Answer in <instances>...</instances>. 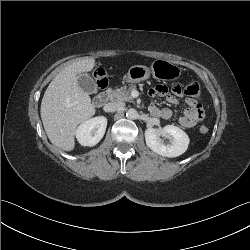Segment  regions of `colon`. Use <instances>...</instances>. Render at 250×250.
Wrapping results in <instances>:
<instances>
[{
    "instance_id": "obj_1",
    "label": "colon",
    "mask_w": 250,
    "mask_h": 250,
    "mask_svg": "<svg viewBox=\"0 0 250 250\" xmlns=\"http://www.w3.org/2000/svg\"><path fill=\"white\" fill-rule=\"evenodd\" d=\"M93 77L98 87L103 88L107 84V74L101 67H97L93 72ZM184 93L191 99H198L200 96V87L195 82H190L184 87ZM209 131L208 127L203 125L200 127V132L206 134Z\"/></svg>"
}]
</instances>
